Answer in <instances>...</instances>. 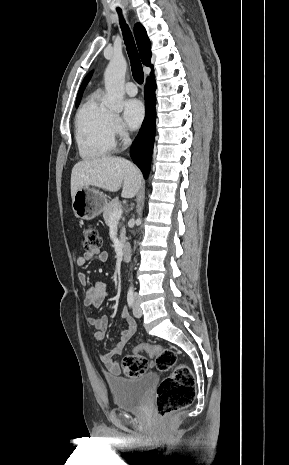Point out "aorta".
Instances as JSON below:
<instances>
[{"mask_svg":"<svg viewBox=\"0 0 289 465\" xmlns=\"http://www.w3.org/2000/svg\"><path fill=\"white\" fill-rule=\"evenodd\" d=\"M127 62L124 57H114L108 64L105 73L106 97L104 104L114 112L123 110L124 84ZM140 221V218L137 220Z\"/></svg>","mask_w":289,"mask_h":465,"instance_id":"1","label":"aorta"}]
</instances>
